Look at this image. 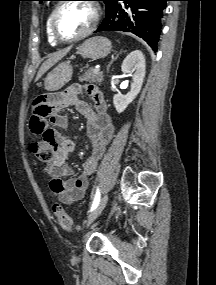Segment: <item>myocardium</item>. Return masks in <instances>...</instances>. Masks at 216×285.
I'll use <instances>...</instances> for the list:
<instances>
[{"label":"myocardium","mask_w":216,"mask_h":285,"mask_svg":"<svg viewBox=\"0 0 216 285\" xmlns=\"http://www.w3.org/2000/svg\"><path fill=\"white\" fill-rule=\"evenodd\" d=\"M69 3H75V2L65 1V2H62V3L58 4L55 7V9L53 10L52 15H51V19H50V29H51L52 36L54 37V39L57 42H60V43H72V42L80 41V40L88 37L97 28L99 20H100V16H101L100 6L96 2H93V1H90V0H88L86 2H83V3L89 4L92 7V9L94 11L93 22L88 27V29L85 30L83 33H81L79 35H76V36H73V37H69V38L63 37L57 31L56 21H57V17L59 15L61 9L64 6H66L67 4H69Z\"/></svg>","instance_id":"1"}]
</instances>
